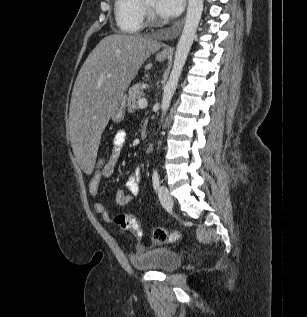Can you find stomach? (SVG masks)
Masks as SVG:
<instances>
[{"mask_svg":"<svg viewBox=\"0 0 307 317\" xmlns=\"http://www.w3.org/2000/svg\"><path fill=\"white\" fill-rule=\"evenodd\" d=\"M167 58L166 55L158 54L156 59L158 61H164ZM125 103H126V96H123L117 102L116 110L114 111L113 115L111 116L115 122H120L124 119L125 116Z\"/></svg>","mask_w":307,"mask_h":317,"instance_id":"stomach-1","label":"stomach"}]
</instances>
